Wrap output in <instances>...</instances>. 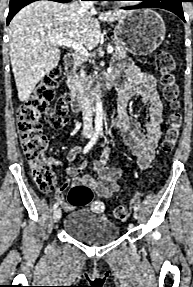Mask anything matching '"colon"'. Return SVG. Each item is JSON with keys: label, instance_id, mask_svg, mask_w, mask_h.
Instances as JSON below:
<instances>
[{"label": "colon", "instance_id": "obj_1", "mask_svg": "<svg viewBox=\"0 0 193 287\" xmlns=\"http://www.w3.org/2000/svg\"><path fill=\"white\" fill-rule=\"evenodd\" d=\"M155 65L160 74L163 96L170 108L168 128L161 149L164 153H170L175 148L182 123L180 92L174 75L175 61L168 51L162 50L156 55ZM61 76L62 71L58 67H53L46 72L36 85L32 95L19 107L17 112L21 146L31 169L33 180L43 193H48L54 188L56 175L47 163L48 142L42 132L39 119L46 115L47 118H50V124L54 128H61L66 124L69 95L61 96L53 106L51 105L54 89ZM92 198L93 190L86 185H75L68 193V202L74 207L88 204ZM114 216L118 220L124 221L129 216V210L126 206H117L114 209Z\"/></svg>", "mask_w": 193, "mask_h": 287}]
</instances>
